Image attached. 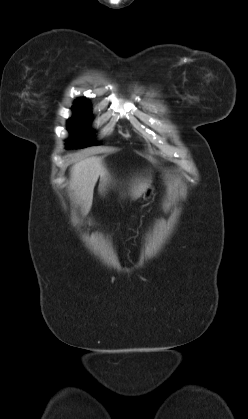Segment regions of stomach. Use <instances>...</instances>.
Listing matches in <instances>:
<instances>
[{
    "instance_id": "obj_1",
    "label": "stomach",
    "mask_w": 248,
    "mask_h": 419,
    "mask_svg": "<svg viewBox=\"0 0 248 419\" xmlns=\"http://www.w3.org/2000/svg\"><path fill=\"white\" fill-rule=\"evenodd\" d=\"M153 188L152 187H148L142 194V196H141V198L142 199H147V198H150V196L152 195V193H153Z\"/></svg>"
}]
</instances>
